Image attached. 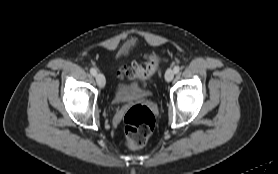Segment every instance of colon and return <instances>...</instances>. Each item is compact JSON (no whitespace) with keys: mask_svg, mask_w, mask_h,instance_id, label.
<instances>
[{"mask_svg":"<svg viewBox=\"0 0 278 174\" xmlns=\"http://www.w3.org/2000/svg\"><path fill=\"white\" fill-rule=\"evenodd\" d=\"M160 57L150 54L145 61L134 63L131 69H124L122 75L130 80L145 81L157 71ZM126 144L132 149L144 146L155 127V118L151 110L143 105L133 106L124 116Z\"/></svg>","mask_w":278,"mask_h":174,"instance_id":"obj_1","label":"colon"}]
</instances>
